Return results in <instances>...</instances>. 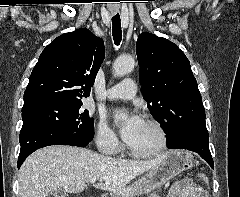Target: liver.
<instances>
[{
    "instance_id": "obj_1",
    "label": "liver",
    "mask_w": 240,
    "mask_h": 197,
    "mask_svg": "<svg viewBox=\"0 0 240 197\" xmlns=\"http://www.w3.org/2000/svg\"><path fill=\"white\" fill-rule=\"evenodd\" d=\"M165 155L137 161L100 155L87 148L48 146L32 153L19 171V197H47L53 191L82 192L92 178L95 185L115 195L126 185L156 167Z\"/></svg>"
}]
</instances>
